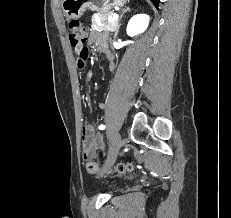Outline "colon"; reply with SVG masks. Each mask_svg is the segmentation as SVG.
Returning a JSON list of instances; mask_svg holds the SVG:
<instances>
[{
    "label": "colon",
    "instance_id": "1",
    "mask_svg": "<svg viewBox=\"0 0 231 218\" xmlns=\"http://www.w3.org/2000/svg\"><path fill=\"white\" fill-rule=\"evenodd\" d=\"M68 36L70 44L73 47H81L77 58H82V56H89L88 48L85 43L88 38V32L86 28L77 20H71L68 23ZM86 169L91 174H97L100 171V166L96 161L89 160L86 163ZM133 169V165L130 163H119L114 168V172L123 174Z\"/></svg>",
    "mask_w": 231,
    "mask_h": 218
}]
</instances>
